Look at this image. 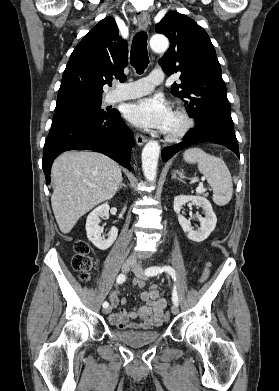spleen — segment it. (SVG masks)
<instances>
[{
    "mask_svg": "<svg viewBox=\"0 0 279 391\" xmlns=\"http://www.w3.org/2000/svg\"><path fill=\"white\" fill-rule=\"evenodd\" d=\"M187 163H197L198 170L213 187V201L224 206L229 203L233 194L232 177L225 162L216 156L204 152L201 148H189L183 154Z\"/></svg>",
    "mask_w": 279,
    "mask_h": 391,
    "instance_id": "1",
    "label": "spleen"
}]
</instances>
